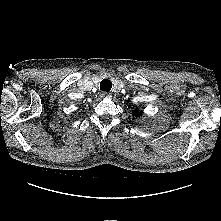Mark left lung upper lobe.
Segmentation results:
<instances>
[{"mask_svg":"<svg viewBox=\"0 0 221 221\" xmlns=\"http://www.w3.org/2000/svg\"><path fill=\"white\" fill-rule=\"evenodd\" d=\"M133 114L135 115V116H140L141 114H142V112H139L138 110H134L133 111Z\"/></svg>","mask_w":221,"mask_h":221,"instance_id":"obj_1","label":"left lung upper lobe"}]
</instances>
